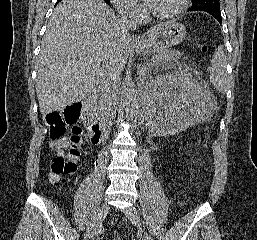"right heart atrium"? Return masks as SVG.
I'll list each match as a JSON object with an SVG mask.
<instances>
[{
	"label": "right heart atrium",
	"instance_id": "obj_1",
	"mask_svg": "<svg viewBox=\"0 0 257 240\" xmlns=\"http://www.w3.org/2000/svg\"><path fill=\"white\" fill-rule=\"evenodd\" d=\"M117 10L124 16L133 19L140 20L143 16L141 6L136 0H112Z\"/></svg>",
	"mask_w": 257,
	"mask_h": 240
}]
</instances>
